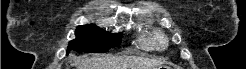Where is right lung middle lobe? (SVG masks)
I'll use <instances>...</instances> for the list:
<instances>
[{"mask_svg":"<svg viewBox=\"0 0 246 69\" xmlns=\"http://www.w3.org/2000/svg\"><path fill=\"white\" fill-rule=\"evenodd\" d=\"M76 39L69 42L67 54L77 52H107L121 44L122 34H110L95 25L78 26L75 31Z\"/></svg>","mask_w":246,"mask_h":69,"instance_id":"1","label":"right lung middle lobe"}]
</instances>
